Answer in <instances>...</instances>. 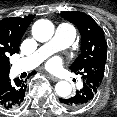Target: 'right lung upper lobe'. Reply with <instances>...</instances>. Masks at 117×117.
Returning <instances> with one entry per match:
<instances>
[{"instance_id":"cb5924a9","label":"right lung upper lobe","mask_w":117,"mask_h":117,"mask_svg":"<svg viewBox=\"0 0 117 117\" xmlns=\"http://www.w3.org/2000/svg\"><path fill=\"white\" fill-rule=\"evenodd\" d=\"M34 17H11L0 21V85L9 77V56L19 52L20 40Z\"/></svg>"}]
</instances>
